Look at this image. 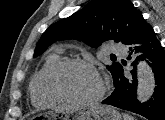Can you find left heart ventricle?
I'll use <instances>...</instances> for the list:
<instances>
[{
  "label": "left heart ventricle",
  "mask_w": 165,
  "mask_h": 120,
  "mask_svg": "<svg viewBox=\"0 0 165 120\" xmlns=\"http://www.w3.org/2000/svg\"><path fill=\"white\" fill-rule=\"evenodd\" d=\"M62 91L75 99H87L96 96L101 90V80L90 69L74 66L67 69L59 79Z\"/></svg>",
  "instance_id": "b2bd125f"
}]
</instances>
